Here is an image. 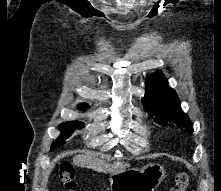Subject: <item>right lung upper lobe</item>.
<instances>
[{
  "label": "right lung upper lobe",
  "instance_id": "obj_1",
  "mask_svg": "<svg viewBox=\"0 0 221 191\" xmlns=\"http://www.w3.org/2000/svg\"><path fill=\"white\" fill-rule=\"evenodd\" d=\"M87 107V104H81L80 106H79V109L80 110H83V109H85Z\"/></svg>",
  "mask_w": 221,
  "mask_h": 191
}]
</instances>
